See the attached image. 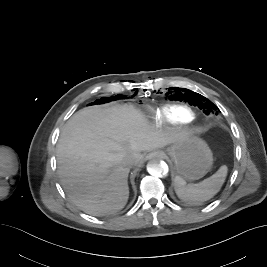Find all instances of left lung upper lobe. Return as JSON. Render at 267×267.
Returning a JSON list of instances; mask_svg holds the SVG:
<instances>
[{
  "label": "left lung upper lobe",
  "mask_w": 267,
  "mask_h": 267,
  "mask_svg": "<svg viewBox=\"0 0 267 267\" xmlns=\"http://www.w3.org/2000/svg\"><path fill=\"white\" fill-rule=\"evenodd\" d=\"M163 95L165 100L168 102H174L192 109L199 107L200 109H203L204 113L207 115L209 113H218L216 105H214L210 100L188 89L171 86L165 89Z\"/></svg>",
  "instance_id": "5c2ea615"
}]
</instances>
